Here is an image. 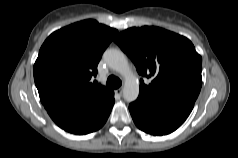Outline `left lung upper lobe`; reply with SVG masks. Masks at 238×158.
<instances>
[{
    "mask_svg": "<svg viewBox=\"0 0 238 158\" xmlns=\"http://www.w3.org/2000/svg\"><path fill=\"white\" fill-rule=\"evenodd\" d=\"M114 41L134 62L140 80L138 99L152 104L196 100L202 85V58L189 39L158 27L121 32Z\"/></svg>",
    "mask_w": 238,
    "mask_h": 158,
    "instance_id": "left-lung-upper-lobe-1",
    "label": "left lung upper lobe"
}]
</instances>
